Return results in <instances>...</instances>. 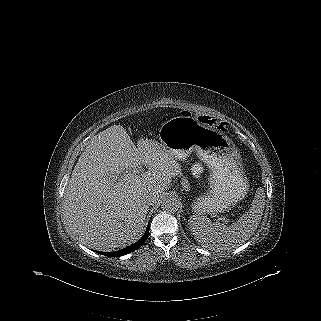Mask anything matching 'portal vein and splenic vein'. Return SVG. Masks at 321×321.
I'll list each match as a JSON object with an SVG mask.
<instances>
[{
    "label": "portal vein and splenic vein",
    "mask_w": 321,
    "mask_h": 321,
    "mask_svg": "<svg viewBox=\"0 0 321 321\" xmlns=\"http://www.w3.org/2000/svg\"><path fill=\"white\" fill-rule=\"evenodd\" d=\"M135 172H136V173L143 172V169H142L141 167H139V168H137V169L135 170ZM225 222H227V221H225Z\"/></svg>",
    "instance_id": "obj_1"
}]
</instances>
